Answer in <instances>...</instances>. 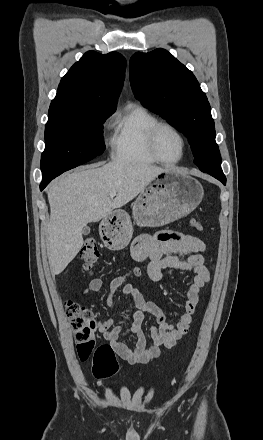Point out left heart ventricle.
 Returning <instances> with one entry per match:
<instances>
[{
	"label": "left heart ventricle",
	"instance_id": "left-heart-ventricle-1",
	"mask_svg": "<svg viewBox=\"0 0 263 440\" xmlns=\"http://www.w3.org/2000/svg\"><path fill=\"white\" fill-rule=\"evenodd\" d=\"M156 148L163 159L173 161L181 156L182 143L176 133L168 128H163L158 133Z\"/></svg>",
	"mask_w": 263,
	"mask_h": 440
}]
</instances>
